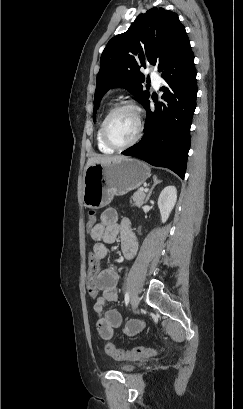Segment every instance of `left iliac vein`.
<instances>
[{"label": "left iliac vein", "instance_id": "4c4485c4", "mask_svg": "<svg viewBox=\"0 0 243 409\" xmlns=\"http://www.w3.org/2000/svg\"><path fill=\"white\" fill-rule=\"evenodd\" d=\"M139 305V298L137 296H135L132 301H131V306L133 311H136Z\"/></svg>", "mask_w": 243, "mask_h": 409}]
</instances>
